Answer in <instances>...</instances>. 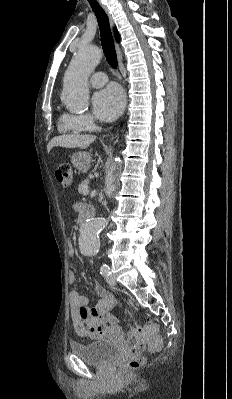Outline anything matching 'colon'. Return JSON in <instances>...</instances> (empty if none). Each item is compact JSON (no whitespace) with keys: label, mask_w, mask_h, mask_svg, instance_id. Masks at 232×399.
<instances>
[{"label":"colon","mask_w":232,"mask_h":399,"mask_svg":"<svg viewBox=\"0 0 232 399\" xmlns=\"http://www.w3.org/2000/svg\"><path fill=\"white\" fill-rule=\"evenodd\" d=\"M56 181L59 185H75L73 180V170L69 163H56ZM156 321H147L146 326H140L139 330H130L131 340H120L122 353H145L146 341H148L150 328H156ZM121 361L122 374H131L135 365H144V358L138 355H123Z\"/></svg>","instance_id":"5ec220e1"}]
</instances>
